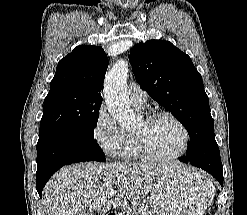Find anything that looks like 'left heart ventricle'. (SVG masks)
<instances>
[{"instance_id": "b2bd125f", "label": "left heart ventricle", "mask_w": 247, "mask_h": 215, "mask_svg": "<svg viewBox=\"0 0 247 215\" xmlns=\"http://www.w3.org/2000/svg\"><path fill=\"white\" fill-rule=\"evenodd\" d=\"M146 133L151 148L158 154L173 155L183 145V133L178 125L168 118H160L150 124L142 120L134 132Z\"/></svg>"}]
</instances>
